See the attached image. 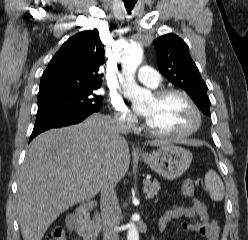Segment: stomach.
I'll list each match as a JSON object with an SVG mask.
<instances>
[{
	"label": "stomach",
	"mask_w": 248,
	"mask_h": 240,
	"mask_svg": "<svg viewBox=\"0 0 248 240\" xmlns=\"http://www.w3.org/2000/svg\"><path fill=\"white\" fill-rule=\"evenodd\" d=\"M141 159L163 178L172 180L190 167L192 154L183 147L166 144L142 155Z\"/></svg>",
	"instance_id": "1"
}]
</instances>
